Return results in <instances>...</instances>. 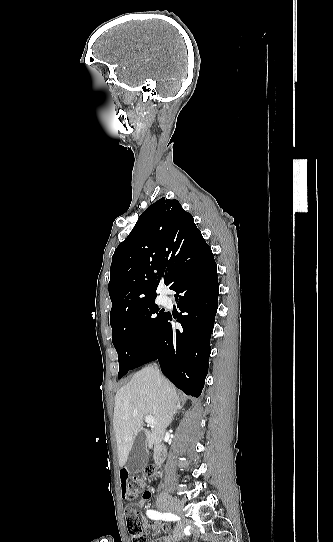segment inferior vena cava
<instances>
[{"mask_svg":"<svg viewBox=\"0 0 333 542\" xmlns=\"http://www.w3.org/2000/svg\"><path fill=\"white\" fill-rule=\"evenodd\" d=\"M155 370H156V372H158V374H159L160 370H159L158 366H155Z\"/></svg>","mask_w":333,"mask_h":542,"instance_id":"inferior-vena-cava-1","label":"inferior vena cava"}]
</instances>
